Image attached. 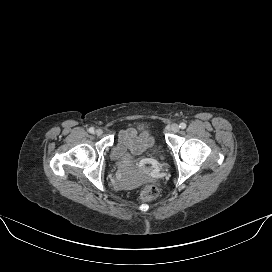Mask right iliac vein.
<instances>
[{
    "label": "right iliac vein",
    "instance_id": "obj_1",
    "mask_svg": "<svg viewBox=\"0 0 272 272\" xmlns=\"http://www.w3.org/2000/svg\"><path fill=\"white\" fill-rule=\"evenodd\" d=\"M95 134L97 136H101L103 134V130L102 129H97L96 132H95Z\"/></svg>",
    "mask_w": 272,
    "mask_h": 272
}]
</instances>
